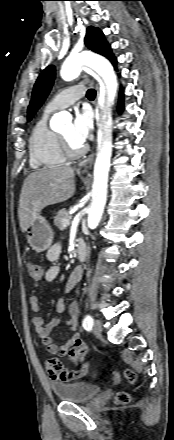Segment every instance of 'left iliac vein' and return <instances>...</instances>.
Returning a JSON list of instances; mask_svg holds the SVG:
<instances>
[{
  "instance_id": "left-iliac-vein-1",
  "label": "left iliac vein",
  "mask_w": 174,
  "mask_h": 440,
  "mask_svg": "<svg viewBox=\"0 0 174 440\" xmlns=\"http://www.w3.org/2000/svg\"><path fill=\"white\" fill-rule=\"evenodd\" d=\"M102 322L99 319H96L93 323L92 330L95 335L99 336L102 333Z\"/></svg>"
}]
</instances>
